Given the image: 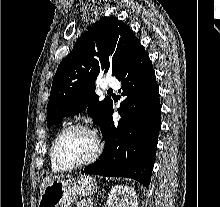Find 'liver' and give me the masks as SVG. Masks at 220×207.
I'll return each mask as SVG.
<instances>
[{
	"instance_id": "6515ba94",
	"label": "liver",
	"mask_w": 220,
	"mask_h": 207,
	"mask_svg": "<svg viewBox=\"0 0 220 207\" xmlns=\"http://www.w3.org/2000/svg\"><path fill=\"white\" fill-rule=\"evenodd\" d=\"M60 178V176H53V177H47L43 183L41 184V187H40V193L43 192L44 188L46 187V185L48 184V182H50V180L52 179H58Z\"/></svg>"
}]
</instances>
